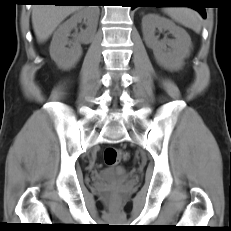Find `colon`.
Here are the masks:
<instances>
[{
    "mask_svg": "<svg viewBox=\"0 0 231 231\" xmlns=\"http://www.w3.org/2000/svg\"><path fill=\"white\" fill-rule=\"evenodd\" d=\"M127 158V154L116 147H107L104 151V161L108 166L118 165Z\"/></svg>",
    "mask_w": 231,
    "mask_h": 231,
    "instance_id": "obj_1",
    "label": "colon"
}]
</instances>
